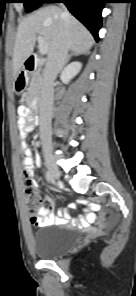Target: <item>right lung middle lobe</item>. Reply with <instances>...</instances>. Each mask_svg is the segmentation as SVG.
I'll return each mask as SVG.
<instances>
[{"label": "right lung middle lobe", "mask_w": 136, "mask_h": 296, "mask_svg": "<svg viewBox=\"0 0 136 296\" xmlns=\"http://www.w3.org/2000/svg\"><path fill=\"white\" fill-rule=\"evenodd\" d=\"M20 3H24L27 10L32 11L38 8L43 3H46L47 0H19Z\"/></svg>", "instance_id": "right-lung-middle-lobe-1"}]
</instances>
